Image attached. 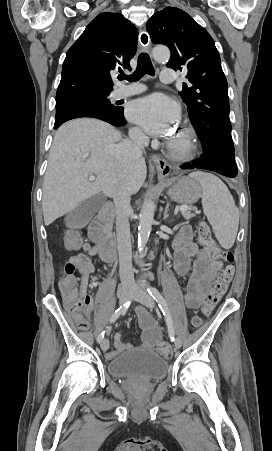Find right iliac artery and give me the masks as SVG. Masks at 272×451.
Wrapping results in <instances>:
<instances>
[{
  "instance_id": "right-iliac-artery-1",
  "label": "right iliac artery",
  "mask_w": 272,
  "mask_h": 451,
  "mask_svg": "<svg viewBox=\"0 0 272 451\" xmlns=\"http://www.w3.org/2000/svg\"><path fill=\"white\" fill-rule=\"evenodd\" d=\"M131 304V301H127L126 303H124L122 306H120L117 310H115V312L113 313V315L111 316L110 319V323L115 322L121 315L125 314L129 308ZM109 327H107L108 329ZM109 330V329H108ZM104 334L105 331H103L102 333L99 334L97 341L100 343L102 341V339L104 338Z\"/></svg>"
}]
</instances>
